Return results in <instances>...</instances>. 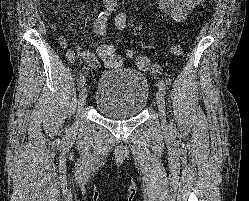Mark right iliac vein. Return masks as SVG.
Listing matches in <instances>:
<instances>
[{"label":"right iliac vein","mask_w":249,"mask_h":201,"mask_svg":"<svg viewBox=\"0 0 249 201\" xmlns=\"http://www.w3.org/2000/svg\"><path fill=\"white\" fill-rule=\"evenodd\" d=\"M87 94H88L87 88L85 86H83L80 89V93H79V102H78L79 110H81L83 108V106L85 105L86 99H87Z\"/></svg>","instance_id":"obj_1"}]
</instances>
